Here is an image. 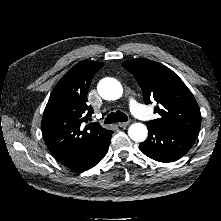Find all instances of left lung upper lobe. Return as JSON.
<instances>
[{
  "mask_svg": "<svg viewBox=\"0 0 221 221\" xmlns=\"http://www.w3.org/2000/svg\"><path fill=\"white\" fill-rule=\"evenodd\" d=\"M133 74L143 92L146 104L154 98L159 104L154 112L160 118L148 123L166 130L198 133L200 108L184 82L166 66L145 58L122 63Z\"/></svg>",
  "mask_w": 221,
  "mask_h": 221,
  "instance_id": "obj_1",
  "label": "left lung upper lobe"
}]
</instances>
